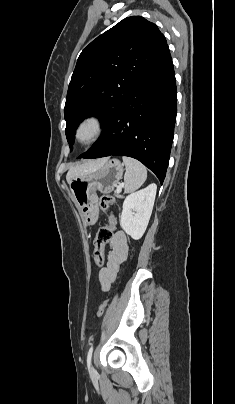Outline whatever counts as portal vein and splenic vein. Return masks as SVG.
Returning a JSON list of instances; mask_svg holds the SVG:
<instances>
[{"label":"portal vein and splenic vein","instance_id":"portal-vein-and-splenic-vein-1","mask_svg":"<svg viewBox=\"0 0 235 404\" xmlns=\"http://www.w3.org/2000/svg\"><path fill=\"white\" fill-rule=\"evenodd\" d=\"M121 190H122V186H118L117 187V192H121Z\"/></svg>","mask_w":235,"mask_h":404}]
</instances>
